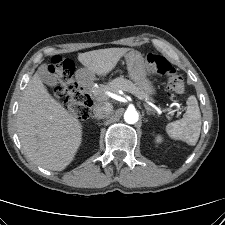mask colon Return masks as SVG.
I'll list each match as a JSON object with an SVG mask.
<instances>
[{
    "label": "colon",
    "instance_id": "1",
    "mask_svg": "<svg viewBox=\"0 0 225 225\" xmlns=\"http://www.w3.org/2000/svg\"><path fill=\"white\" fill-rule=\"evenodd\" d=\"M148 69L156 74L167 76V92L169 94H182L185 92V83L177 70L163 56L148 53L146 56ZM50 72L59 83L54 89L56 98L63 101L66 108L79 119L90 116L92 101L84 94L74 79V64L71 60L54 58L49 67Z\"/></svg>",
    "mask_w": 225,
    "mask_h": 225
}]
</instances>
